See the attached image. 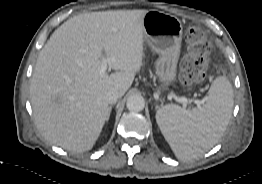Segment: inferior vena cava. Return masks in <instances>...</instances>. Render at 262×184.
Masks as SVG:
<instances>
[{
  "label": "inferior vena cava",
  "instance_id": "1",
  "mask_svg": "<svg viewBox=\"0 0 262 184\" xmlns=\"http://www.w3.org/2000/svg\"><path fill=\"white\" fill-rule=\"evenodd\" d=\"M120 97V93L115 89L110 90L106 93V101L109 104H115L120 99Z\"/></svg>",
  "mask_w": 262,
  "mask_h": 184
}]
</instances>
